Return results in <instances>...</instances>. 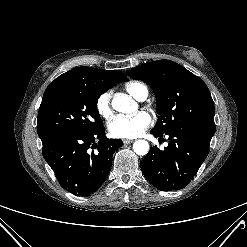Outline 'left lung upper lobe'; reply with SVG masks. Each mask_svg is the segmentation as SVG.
Returning a JSON list of instances; mask_svg holds the SVG:
<instances>
[{"label": "left lung upper lobe", "instance_id": "1", "mask_svg": "<svg viewBox=\"0 0 247 247\" xmlns=\"http://www.w3.org/2000/svg\"><path fill=\"white\" fill-rule=\"evenodd\" d=\"M126 73L147 83L155 94L159 118L153 132L184 128L214 135V103L201 78L170 60L145 63Z\"/></svg>", "mask_w": 247, "mask_h": 247}]
</instances>
